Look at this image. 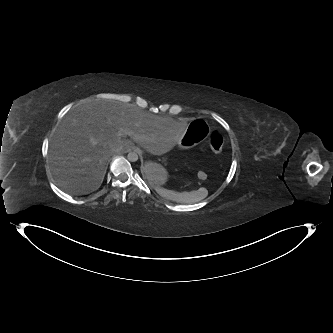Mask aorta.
<instances>
[{
    "instance_id": "1",
    "label": "aorta",
    "mask_w": 333,
    "mask_h": 333,
    "mask_svg": "<svg viewBox=\"0 0 333 333\" xmlns=\"http://www.w3.org/2000/svg\"><path fill=\"white\" fill-rule=\"evenodd\" d=\"M127 159L130 161V162H136L138 160V154L136 152H129L128 155H127Z\"/></svg>"
}]
</instances>
